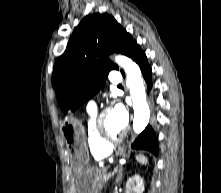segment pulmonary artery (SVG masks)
<instances>
[{"mask_svg":"<svg viewBox=\"0 0 221 193\" xmlns=\"http://www.w3.org/2000/svg\"><path fill=\"white\" fill-rule=\"evenodd\" d=\"M110 82L114 86H118L119 84H121L122 82L121 73L117 70L112 71L110 75ZM87 109L88 111H95L97 109L96 103L94 101H90L87 105Z\"/></svg>","mask_w":221,"mask_h":193,"instance_id":"1","label":"pulmonary artery"}]
</instances>
